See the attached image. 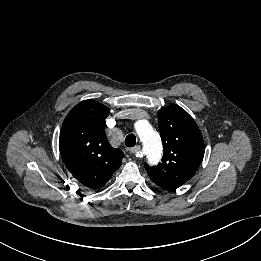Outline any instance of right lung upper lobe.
Listing matches in <instances>:
<instances>
[{
	"label": "right lung upper lobe",
	"instance_id": "1",
	"mask_svg": "<svg viewBox=\"0 0 261 261\" xmlns=\"http://www.w3.org/2000/svg\"><path fill=\"white\" fill-rule=\"evenodd\" d=\"M109 113L108 107L86 100L69 112L61 128L62 160L71 174L90 189L103 187L124 157L107 140L103 124Z\"/></svg>",
	"mask_w": 261,
	"mask_h": 261
}]
</instances>
